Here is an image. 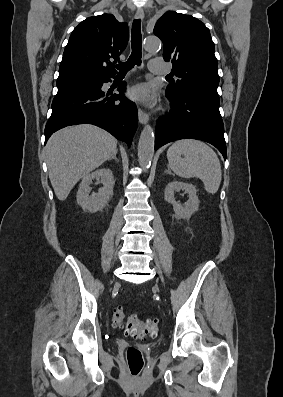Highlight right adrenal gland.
<instances>
[{
	"instance_id": "obj_1",
	"label": "right adrenal gland",
	"mask_w": 283,
	"mask_h": 397,
	"mask_svg": "<svg viewBox=\"0 0 283 397\" xmlns=\"http://www.w3.org/2000/svg\"><path fill=\"white\" fill-rule=\"evenodd\" d=\"M116 155H117V152H115V153L111 156V158H109L108 160L115 159L117 162H119V160L117 159Z\"/></svg>"
}]
</instances>
